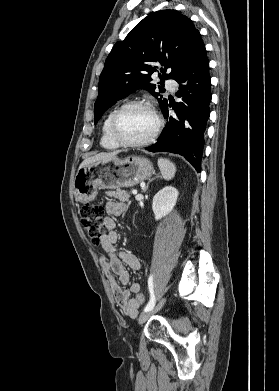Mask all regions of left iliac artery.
<instances>
[{
	"label": "left iliac artery",
	"instance_id": "44dca946",
	"mask_svg": "<svg viewBox=\"0 0 279 391\" xmlns=\"http://www.w3.org/2000/svg\"><path fill=\"white\" fill-rule=\"evenodd\" d=\"M148 286H149V291H150V300L148 304L144 308V312L151 310L154 305H155V295L153 291V277L150 276L148 279Z\"/></svg>",
	"mask_w": 279,
	"mask_h": 391
}]
</instances>
